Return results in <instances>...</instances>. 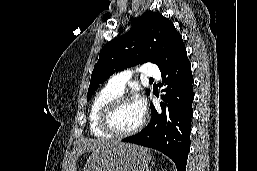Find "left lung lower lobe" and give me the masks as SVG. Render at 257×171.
Returning a JSON list of instances; mask_svg holds the SVG:
<instances>
[{"instance_id": "0a47b994", "label": "left lung lower lobe", "mask_w": 257, "mask_h": 171, "mask_svg": "<svg viewBox=\"0 0 257 171\" xmlns=\"http://www.w3.org/2000/svg\"><path fill=\"white\" fill-rule=\"evenodd\" d=\"M160 71L166 86L161 113L151 104L152 117L148 126L123 141L161 151L174 161L178 171H186L194 98L193 76L186 48L175 52L160 67Z\"/></svg>"}]
</instances>
